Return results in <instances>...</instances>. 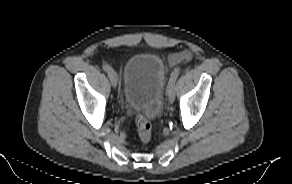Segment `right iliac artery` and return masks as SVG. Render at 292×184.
<instances>
[{
  "mask_svg": "<svg viewBox=\"0 0 292 184\" xmlns=\"http://www.w3.org/2000/svg\"><path fill=\"white\" fill-rule=\"evenodd\" d=\"M102 68H103V70L106 71V72H109V71L111 70V67H110L107 63H104V64L102 65Z\"/></svg>",
  "mask_w": 292,
  "mask_h": 184,
  "instance_id": "obj_1",
  "label": "right iliac artery"
}]
</instances>
